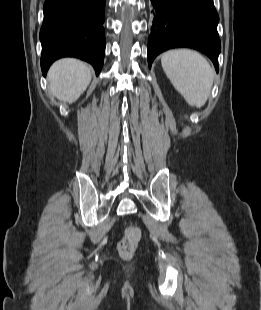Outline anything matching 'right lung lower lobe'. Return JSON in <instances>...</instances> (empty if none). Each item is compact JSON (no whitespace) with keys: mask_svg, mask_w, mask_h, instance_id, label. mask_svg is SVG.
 <instances>
[{"mask_svg":"<svg viewBox=\"0 0 261 310\" xmlns=\"http://www.w3.org/2000/svg\"><path fill=\"white\" fill-rule=\"evenodd\" d=\"M106 0H46L40 30L41 69L46 75L58 58L72 56L91 63L98 75L105 52Z\"/></svg>","mask_w":261,"mask_h":310,"instance_id":"right-lung-lower-lobe-1","label":"right lung lower lobe"}]
</instances>
